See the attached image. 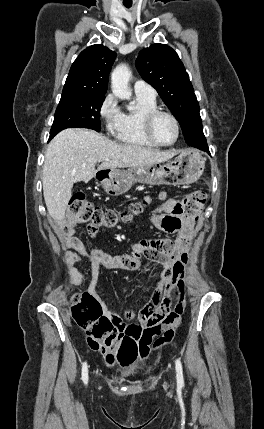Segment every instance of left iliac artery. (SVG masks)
Wrapping results in <instances>:
<instances>
[{
    "label": "left iliac artery",
    "mask_w": 264,
    "mask_h": 429,
    "mask_svg": "<svg viewBox=\"0 0 264 429\" xmlns=\"http://www.w3.org/2000/svg\"><path fill=\"white\" fill-rule=\"evenodd\" d=\"M175 368H176L177 382L178 384L183 385L184 384L183 370H182L181 361L179 359L175 361Z\"/></svg>",
    "instance_id": "1"
}]
</instances>
